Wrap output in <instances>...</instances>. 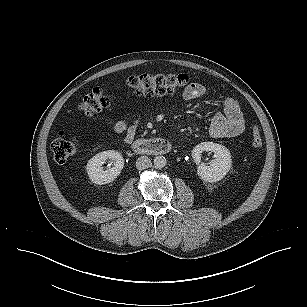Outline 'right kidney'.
<instances>
[{
    "label": "right kidney",
    "instance_id": "1",
    "mask_svg": "<svg viewBox=\"0 0 307 307\" xmlns=\"http://www.w3.org/2000/svg\"><path fill=\"white\" fill-rule=\"evenodd\" d=\"M106 159L114 161V166L104 170L102 164ZM124 166V159L121 153L115 150L103 151L93 156L87 163L86 171L90 180L99 185L114 181L121 173Z\"/></svg>",
    "mask_w": 307,
    "mask_h": 307
}]
</instances>
